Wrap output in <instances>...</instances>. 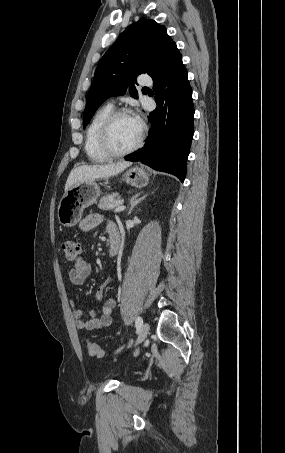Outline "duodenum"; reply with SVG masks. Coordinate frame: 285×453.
<instances>
[{
  "label": "duodenum",
  "mask_w": 285,
  "mask_h": 453,
  "mask_svg": "<svg viewBox=\"0 0 285 453\" xmlns=\"http://www.w3.org/2000/svg\"><path fill=\"white\" fill-rule=\"evenodd\" d=\"M120 248V240L119 239H111L109 240V257H114L119 252Z\"/></svg>",
  "instance_id": "410a0bca"
}]
</instances>
